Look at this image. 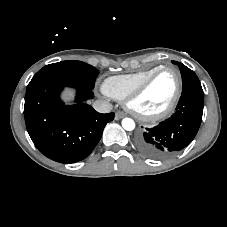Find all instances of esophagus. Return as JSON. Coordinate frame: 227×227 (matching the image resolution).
<instances>
[{"instance_id":"esophagus-1","label":"esophagus","mask_w":227,"mask_h":227,"mask_svg":"<svg viewBox=\"0 0 227 227\" xmlns=\"http://www.w3.org/2000/svg\"><path fill=\"white\" fill-rule=\"evenodd\" d=\"M124 116H125V114H124L123 112L118 111V112H116V114H115V119H116V120H119V119L123 118Z\"/></svg>"}]
</instances>
